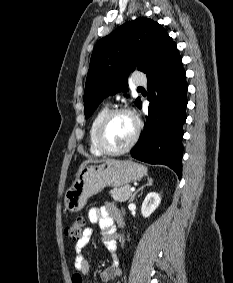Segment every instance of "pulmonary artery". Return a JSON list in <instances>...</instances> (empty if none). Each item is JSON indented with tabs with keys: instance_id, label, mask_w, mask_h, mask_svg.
Wrapping results in <instances>:
<instances>
[{
	"instance_id": "e3ab8cb5",
	"label": "pulmonary artery",
	"mask_w": 233,
	"mask_h": 283,
	"mask_svg": "<svg viewBox=\"0 0 233 283\" xmlns=\"http://www.w3.org/2000/svg\"><path fill=\"white\" fill-rule=\"evenodd\" d=\"M146 83H147V79L142 75H138L134 78V84L137 86L146 85Z\"/></svg>"
}]
</instances>
